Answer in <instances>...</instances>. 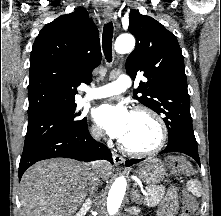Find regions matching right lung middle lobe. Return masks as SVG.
Returning <instances> with one entry per match:
<instances>
[{
  "mask_svg": "<svg viewBox=\"0 0 221 216\" xmlns=\"http://www.w3.org/2000/svg\"><path fill=\"white\" fill-rule=\"evenodd\" d=\"M76 104L43 110L28 115V127L24 150L51 137L73 130L82 125L86 118L77 119Z\"/></svg>",
  "mask_w": 221,
  "mask_h": 216,
  "instance_id": "1",
  "label": "right lung middle lobe"
}]
</instances>
